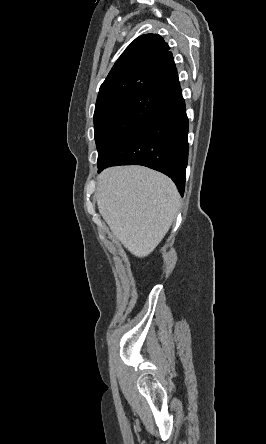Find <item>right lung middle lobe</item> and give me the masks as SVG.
Returning <instances> with one entry per match:
<instances>
[{"label":"right lung middle lobe","mask_w":266,"mask_h":444,"mask_svg":"<svg viewBox=\"0 0 266 444\" xmlns=\"http://www.w3.org/2000/svg\"><path fill=\"white\" fill-rule=\"evenodd\" d=\"M165 103L141 92L130 93L96 105L94 133L98 150L97 163L155 114Z\"/></svg>","instance_id":"right-lung-middle-lobe-1"}]
</instances>
